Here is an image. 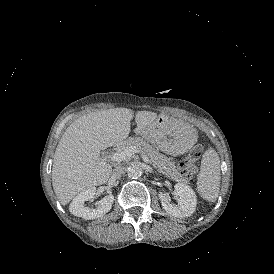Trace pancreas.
Instances as JSON below:
<instances>
[{
    "label": "pancreas",
    "instance_id": "obj_1",
    "mask_svg": "<svg viewBox=\"0 0 274 274\" xmlns=\"http://www.w3.org/2000/svg\"><path fill=\"white\" fill-rule=\"evenodd\" d=\"M135 146L138 150V153L141 155H146L150 159L153 167L158 170V172L166 175L167 177L182 183H188L189 179L186 175H182L175 167L174 162H171V159L165 156L164 154L159 153L157 149L152 147L146 141L140 137H129L127 140L121 143L120 149L124 150L126 147ZM129 159H126L125 162H128Z\"/></svg>",
    "mask_w": 274,
    "mask_h": 274
}]
</instances>
